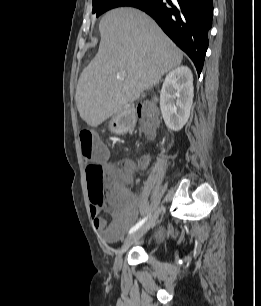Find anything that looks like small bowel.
<instances>
[{
	"label": "small bowel",
	"mask_w": 261,
	"mask_h": 306,
	"mask_svg": "<svg viewBox=\"0 0 261 306\" xmlns=\"http://www.w3.org/2000/svg\"><path fill=\"white\" fill-rule=\"evenodd\" d=\"M148 161L147 157L143 159L144 164H147ZM132 168L133 163L125 161L120 168L113 170L112 196L108 198L107 206L112 215L110 223L100 217V207H90L94 227L100 239L105 243L118 242L138 218L139 208L134 195L129 191V186L133 181Z\"/></svg>",
	"instance_id": "c3829d8e"
}]
</instances>
